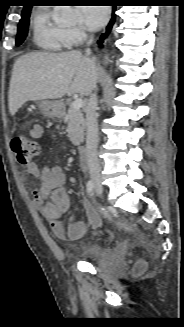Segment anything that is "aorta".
<instances>
[{
  "label": "aorta",
  "mask_w": 184,
  "mask_h": 327,
  "mask_svg": "<svg viewBox=\"0 0 184 327\" xmlns=\"http://www.w3.org/2000/svg\"><path fill=\"white\" fill-rule=\"evenodd\" d=\"M64 16H72V15H71V13H66V14H64ZM104 59H105V63H107L108 62V55H105Z\"/></svg>",
  "instance_id": "762f6f07"
}]
</instances>
